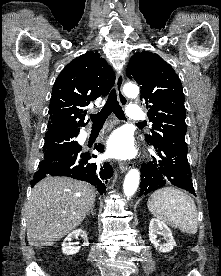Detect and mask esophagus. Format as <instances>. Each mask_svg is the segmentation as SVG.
<instances>
[{"label": "esophagus", "mask_w": 221, "mask_h": 276, "mask_svg": "<svg viewBox=\"0 0 221 276\" xmlns=\"http://www.w3.org/2000/svg\"><path fill=\"white\" fill-rule=\"evenodd\" d=\"M124 75L122 72H118L116 76L115 88L117 93L118 101L122 106H126L127 98L123 94ZM130 162L121 161L119 162V169L122 172L127 171L130 168Z\"/></svg>", "instance_id": "obj_1"}]
</instances>
